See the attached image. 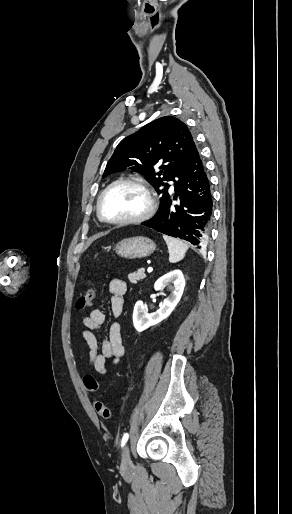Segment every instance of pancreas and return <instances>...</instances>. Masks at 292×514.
Here are the masks:
<instances>
[{"label":"pancreas","mask_w":292,"mask_h":514,"mask_svg":"<svg viewBox=\"0 0 292 514\" xmlns=\"http://www.w3.org/2000/svg\"><path fill=\"white\" fill-rule=\"evenodd\" d=\"M145 270L144 268H140L138 272H133V274H128V278L132 284H137L138 280H144L146 278L144 274Z\"/></svg>","instance_id":"1"}]
</instances>
